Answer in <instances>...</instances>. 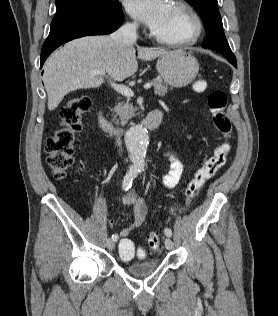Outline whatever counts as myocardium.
Returning a JSON list of instances; mask_svg holds the SVG:
<instances>
[{"label": "myocardium", "instance_id": "obj_1", "mask_svg": "<svg viewBox=\"0 0 278 316\" xmlns=\"http://www.w3.org/2000/svg\"><path fill=\"white\" fill-rule=\"evenodd\" d=\"M174 7L180 9L184 13L188 15L192 22V32L191 34L183 39H168L161 37L154 32L151 33V37L159 44L175 47V48H183L194 45L200 38L203 30L202 20L197 13V11L191 6L188 2L184 0H174L172 4Z\"/></svg>", "mask_w": 278, "mask_h": 316}]
</instances>
